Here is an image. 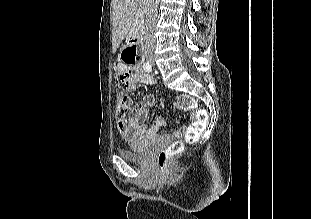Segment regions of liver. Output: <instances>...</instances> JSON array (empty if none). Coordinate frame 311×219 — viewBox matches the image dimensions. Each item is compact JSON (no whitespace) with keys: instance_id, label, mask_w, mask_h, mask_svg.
<instances>
[{"instance_id":"6515ba94","label":"liver","mask_w":311,"mask_h":219,"mask_svg":"<svg viewBox=\"0 0 311 219\" xmlns=\"http://www.w3.org/2000/svg\"><path fill=\"white\" fill-rule=\"evenodd\" d=\"M138 0H112L113 5V30L112 45L116 51L122 40L130 31L134 19Z\"/></svg>"}]
</instances>
